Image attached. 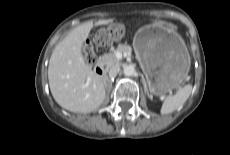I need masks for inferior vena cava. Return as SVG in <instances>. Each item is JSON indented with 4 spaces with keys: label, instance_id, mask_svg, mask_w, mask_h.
Wrapping results in <instances>:
<instances>
[{
    "label": "inferior vena cava",
    "instance_id": "obj_1",
    "mask_svg": "<svg viewBox=\"0 0 230 155\" xmlns=\"http://www.w3.org/2000/svg\"><path fill=\"white\" fill-rule=\"evenodd\" d=\"M119 72V67L118 66H114L109 70V78L113 79L116 77L117 73Z\"/></svg>",
    "mask_w": 230,
    "mask_h": 155
}]
</instances>
